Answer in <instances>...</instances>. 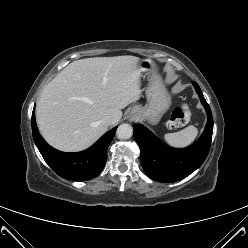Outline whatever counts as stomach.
<instances>
[{"label": "stomach", "mask_w": 248, "mask_h": 248, "mask_svg": "<svg viewBox=\"0 0 248 248\" xmlns=\"http://www.w3.org/2000/svg\"><path fill=\"white\" fill-rule=\"evenodd\" d=\"M137 66L142 72L154 71L156 68L154 61L150 59L141 60ZM146 92L147 105L144 107L135 106L132 111L136 112L137 118L147 120L151 124H157L162 115L169 109L171 97L158 75H153L149 79Z\"/></svg>", "instance_id": "1"}]
</instances>
